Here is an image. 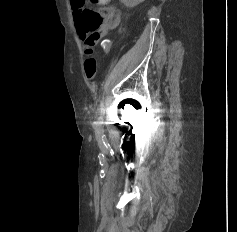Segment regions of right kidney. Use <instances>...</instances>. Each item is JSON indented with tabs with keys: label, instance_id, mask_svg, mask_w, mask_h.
<instances>
[{
	"label": "right kidney",
	"instance_id": "ca27d5eb",
	"mask_svg": "<svg viewBox=\"0 0 237 232\" xmlns=\"http://www.w3.org/2000/svg\"><path fill=\"white\" fill-rule=\"evenodd\" d=\"M126 7L133 8L138 4L144 2V0H120Z\"/></svg>",
	"mask_w": 237,
	"mask_h": 232
}]
</instances>
